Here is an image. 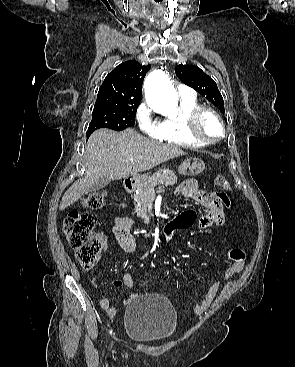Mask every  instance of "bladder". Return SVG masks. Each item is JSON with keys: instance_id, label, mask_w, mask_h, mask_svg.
<instances>
[{"instance_id": "31cf9c89", "label": "bladder", "mask_w": 295, "mask_h": 367, "mask_svg": "<svg viewBox=\"0 0 295 367\" xmlns=\"http://www.w3.org/2000/svg\"><path fill=\"white\" fill-rule=\"evenodd\" d=\"M178 315L172 303L159 294L133 299L125 309L124 330L130 338L142 342H160L176 332Z\"/></svg>"}]
</instances>
